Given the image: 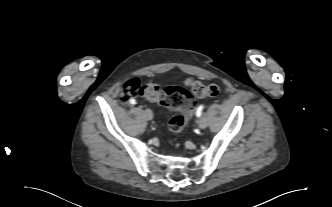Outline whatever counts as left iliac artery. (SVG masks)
<instances>
[{
	"label": "left iliac artery",
	"instance_id": "left-iliac-artery-1",
	"mask_svg": "<svg viewBox=\"0 0 332 207\" xmlns=\"http://www.w3.org/2000/svg\"><path fill=\"white\" fill-rule=\"evenodd\" d=\"M203 105H200L196 110V116L200 117L202 115Z\"/></svg>",
	"mask_w": 332,
	"mask_h": 207
}]
</instances>
